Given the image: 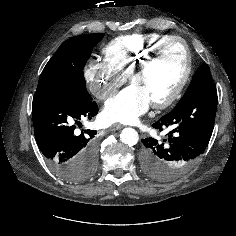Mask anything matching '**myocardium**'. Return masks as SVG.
<instances>
[{"label": "myocardium", "instance_id": "1", "mask_svg": "<svg viewBox=\"0 0 236 236\" xmlns=\"http://www.w3.org/2000/svg\"><path fill=\"white\" fill-rule=\"evenodd\" d=\"M176 43L180 44L184 49V54H185L184 73L169 95H167L165 98L161 100L152 102V106L157 109H163L170 106L180 96L190 78L192 71V57L187 43L182 38L179 37H174L160 43L148 54V56L144 60H142L138 65H136L129 74V79L133 81L136 76L149 69L167 47Z\"/></svg>", "mask_w": 236, "mask_h": 236}]
</instances>
